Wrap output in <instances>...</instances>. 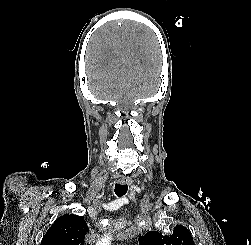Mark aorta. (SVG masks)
<instances>
[{
	"instance_id": "aorta-1",
	"label": "aorta",
	"mask_w": 251,
	"mask_h": 245,
	"mask_svg": "<svg viewBox=\"0 0 251 245\" xmlns=\"http://www.w3.org/2000/svg\"><path fill=\"white\" fill-rule=\"evenodd\" d=\"M110 236L109 234H106L101 240L98 241L96 245H110Z\"/></svg>"
}]
</instances>
